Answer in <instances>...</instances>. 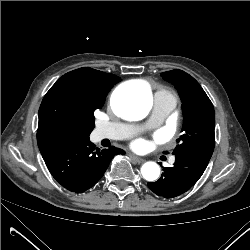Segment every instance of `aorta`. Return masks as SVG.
Returning <instances> with one entry per match:
<instances>
[{
  "label": "aorta",
  "mask_w": 250,
  "mask_h": 250,
  "mask_svg": "<svg viewBox=\"0 0 250 250\" xmlns=\"http://www.w3.org/2000/svg\"><path fill=\"white\" fill-rule=\"evenodd\" d=\"M116 113L128 120L145 118L152 105L151 91L148 85L126 84L117 88L112 98ZM141 174L147 181H154L160 175V167L155 162H146Z\"/></svg>",
  "instance_id": "762f6f07"
}]
</instances>
